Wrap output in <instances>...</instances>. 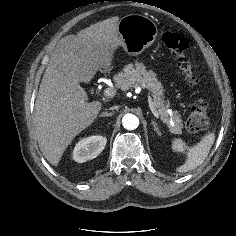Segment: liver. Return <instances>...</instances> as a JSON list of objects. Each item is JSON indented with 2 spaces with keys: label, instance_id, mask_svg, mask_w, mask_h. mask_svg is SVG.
Segmentation results:
<instances>
[{
  "label": "liver",
  "instance_id": "6515ba94",
  "mask_svg": "<svg viewBox=\"0 0 236 236\" xmlns=\"http://www.w3.org/2000/svg\"><path fill=\"white\" fill-rule=\"evenodd\" d=\"M118 23L119 17H111L63 37L50 58L35 103V129L41 152L54 166L101 110V102H89L79 83L112 64L120 43Z\"/></svg>",
  "mask_w": 236,
  "mask_h": 236
}]
</instances>
